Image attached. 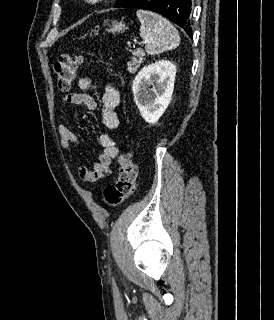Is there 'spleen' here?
I'll return each mask as SVG.
<instances>
[{
  "label": "spleen",
  "instance_id": "3e777b00",
  "mask_svg": "<svg viewBox=\"0 0 274 320\" xmlns=\"http://www.w3.org/2000/svg\"><path fill=\"white\" fill-rule=\"evenodd\" d=\"M136 16L141 22L140 36L146 44L147 54L155 56L179 46V34L168 20L147 10H138Z\"/></svg>",
  "mask_w": 274,
  "mask_h": 320
}]
</instances>
